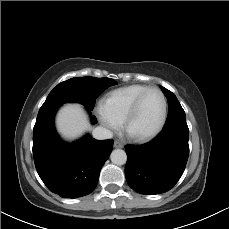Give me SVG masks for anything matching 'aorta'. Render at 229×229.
<instances>
[{"instance_id": "obj_1", "label": "aorta", "mask_w": 229, "mask_h": 229, "mask_svg": "<svg viewBox=\"0 0 229 229\" xmlns=\"http://www.w3.org/2000/svg\"><path fill=\"white\" fill-rule=\"evenodd\" d=\"M111 161L116 165H123L127 161V155L122 149H115L110 155Z\"/></svg>"}]
</instances>
